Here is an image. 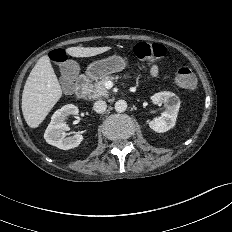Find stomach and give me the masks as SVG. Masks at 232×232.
<instances>
[{"label":"stomach","mask_w":232,"mask_h":232,"mask_svg":"<svg viewBox=\"0 0 232 232\" xmlns=\"http://www.w3.org/2000/svg\"><path fill=\"white\" fill-rule=\"evenodd\" d=\"M126 67V62L121 56L113 55L89 64L86 75L93 79H100L109 74L120 72Z\"/></svg>","instance_id":"stomach-1"}]
</instances>
